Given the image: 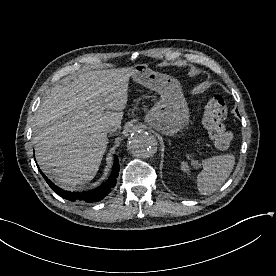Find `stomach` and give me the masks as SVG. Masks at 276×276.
I'll list each match as a JSON object with an SVG mask.
<instances>
[{"mask_svg":"<svg viewBox=\"0 0 276 276\" xmlns=\"http://www.w3.org/2000/svg\"><path fill=\"white\" fill-rule=\"evenodd\" d=\"M133 69L134 81L160 95V100L147 113L145 121L167 135L184 127L190 115L180 82L170 75L151 70L146 64H136Z\"/></svg>","mask_w":276,"mask_h":276,"instance_id":"0dacf381","label":"stomach"}]
</instances>
